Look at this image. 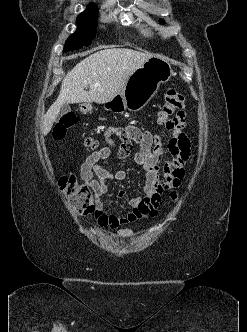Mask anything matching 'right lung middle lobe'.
<instances>
[{"instance_id":"obj_1","label":"right lung middle lobe","mask_w":247,"mask_h":332,"mask_svg":"<svg viewBox=\"0 0 247 332\" xmlns=\"http://www.w3.org/2000/svg\"><path fill=\"white\" fill-rule=\"evenodd\" d=\"M98 8L85 10L76 20L77 30L66 41L64 52L88 46L96 34Z\"/></svg>"}]
</instances>
